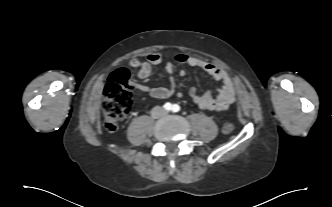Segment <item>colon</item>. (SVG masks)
Wrapping results in <instances>:
<instances>
[{
    "label": "colon",
    "instance_id": "1",
    "mask_svg": "<svg viewBox=\"0 0 332 207\" xmlns=\"http://www.w3.org/2000/svg\"><path fill=\"white\" fill-rule=\"evenodd\" d=\"M135 90L130 73L126 68L115 70L104 87V100L102 110L105 118V129L109 133H114L119 127V123L129 113L132 104V92ZM234 130L232 123H226L223 126V132L226 134Z\"/></svg>",
    "mask_w": 332,
    "mask_h": 207
}]
</instances>
